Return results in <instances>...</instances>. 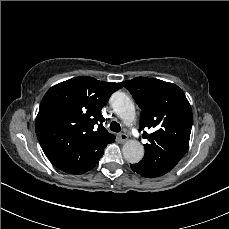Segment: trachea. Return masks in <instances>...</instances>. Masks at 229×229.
Masks as SVG:
<instances>
[{"mask_svg":"<svg viewBox=\"0 0 229 229\" xmlns=\"http://www.w3.org/2000/svg\"><path fill=\"white\" fill-rule=\"evenodd\" d=\"M110 130L119 133L121 131V126L119 123L114 121L110 124Z\"/></svg>","mask_w":229,"mask_h":229,"instance_id":"trachea-1","label":"trachea"}]
</instances>
